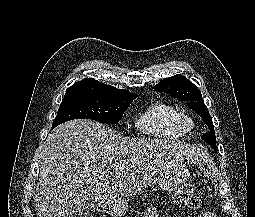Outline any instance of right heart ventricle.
Instances as JSON below:
<instances>
[{"label": "right heart ventricle", "mask_w": 255, "mask_h": 217, "mask_svg": "<svg viewBox=\"0 0 255 217\" xmlns=\"http://www.w3.org/2000/svg\"><path fill=\"white\" fill-rule=\"evenodd\" d=\"M181 116V112L176 107L164 102H156L137 116L135 127L146 136L178 139L186 133L181 125Z\"/></svg>", "instance_id": "obj_1"}]
</instances>
